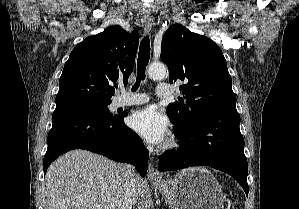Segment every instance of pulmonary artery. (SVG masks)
Here are the masks:
<instances>
[{"label": "pulmonary artery", "mask_w": 299, "mask_h": 209, "mask_svg": "<svg viewBox=\"0 0 299 209\" xmlns=\"http://www.w3.org/2000/svg\"><path fill=\"white\" fill-rule=\"evenodd\" d=\"M173 94V90L168 83H159L156 88V95L160 98L169 97ZM149 97L144 94L134 93L130 96H123L118 101V106L125 107L131 105H139L149 101Z\"/></svg>", "instance_id": "1"}]
</instances>
